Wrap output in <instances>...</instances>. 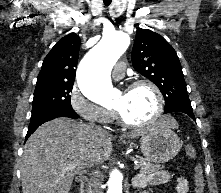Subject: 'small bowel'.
<instances>
[{"label":"small bowel","instance_id":"obj_1","mask_svg":"<svg viewBox=\"0 0 221 193\" xmlns=\"http://www.w3.org/2000/svg\"><path fill=\"white\" fill-rule=\"evenodd\" d=\"M170 180V173L166 170H160L155 173L146 176H138L134 179V186L136 188H143L147 185L154 186L159 184H165ZM177 193H188L189 183L185 177H179L177 179ZM141 193H149L148 190H143Z\"/></svg>","mask_w":221,"mask_h":193}]
</instances>
